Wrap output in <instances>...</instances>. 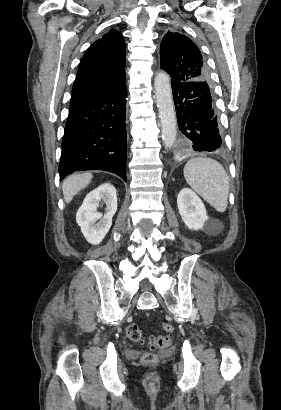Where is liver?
Returning a JSON list of instances; mask_svg holds the SVG:
<instances>
[{"instance_id":"6515ba94","label":"liver","mask_w":281,"mask_h":410,"mask_svg":"<svg viewBox=\"0 0 281 410\" xmlns=\"http://www.w3.org/2000/svg\"><path fill=\"white\" fill-rule=\"evenodd\" d=\"M93 178L90 172L75 174L64 180L62 192L66 203H70L73 197L82 189L86 188Z\"/></svg>"}]
</instances>
